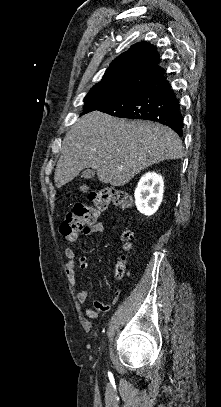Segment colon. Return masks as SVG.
<instances>
[{
	"label": "colon",
	"mask_w": 221,
	"mask_h": 407,
	"mask_svg": "<svg viewBox=\"0 0 221 407\" xmlns=\"http://www.w3.org/2000/svg\"><path fill=\"white\" fill-rule=\"evenodd\" d=\"M91 204H76L73 212L66 215L60 225V233L66 237L75 239L82 233H96L98 230V214L105 211L109 204L125 209L133 205V197L118 187H108L89 195ZM124 247H129L132 239V233L125 230L121 234ZM115 274L122 277L124 274V265L118 263L115 268Z\"/></svg>",
	"instance_id": "5ec220e1"
}]
</instances>
